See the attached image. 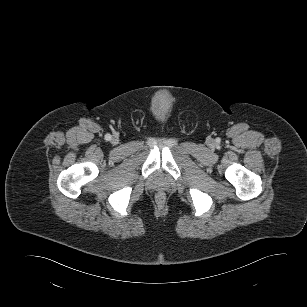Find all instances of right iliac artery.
<instances>
[{"mask_svg": "<svg viewBox=\"0 0 307 307\" xmlns=\"http://www.w3.org/2000/svg\"><path fill=\"white\" fill-rule=\"evenodd\" d=\"M105 138H106V140H110V139H111V135H110V134H107V135L105 136Z\"/></svg>", "mask_w": 307, "mask_h": 307, "instance_id": "82829eb1", "label": "right iliac artery"}]
</instances>
